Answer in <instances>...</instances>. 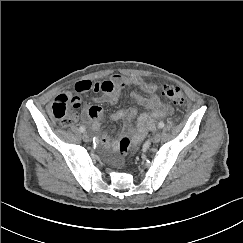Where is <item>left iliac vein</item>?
Masks as SVG:
<instances>
[{
    "mask_svg": "<svg viewBox=\"0 0 243 243\" xmlns=\"http://www.w3.org/2000/svg\"><path fill=\"white\" fill-rule=\"evenodd\" d=\"M160 139H161V135H160L159 133H156V134L153 136L152 141H153L154 143H158V142L160 141Z\"/></svg>",
    "mask_w": 243,
    "mask_h": 243,
    "instance_id": "4c4485c4",
    "label": "left iliac vein"
}]
</instances>
